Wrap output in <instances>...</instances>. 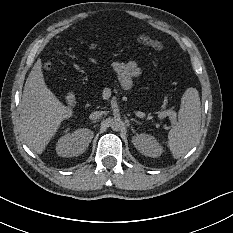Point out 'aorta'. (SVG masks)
<instances>
[{
  "instance_id": "1",
  "label": "aorta",
  "mask_w": 233,
  "mask_h": 233,
  "mask_svg": "<svg viewBox=\"0 0 233 233\" xmlns=\"http://www.w3.org/2000/svg\"><path fill=\"white\" fill-rule=\"evenodd\" d=\"M111 127H112L113 129H117V127H120V123H119L118 121H116V120H113V121L111 122Z\"/></svg>"
}]
</instances>
